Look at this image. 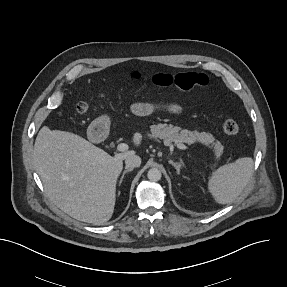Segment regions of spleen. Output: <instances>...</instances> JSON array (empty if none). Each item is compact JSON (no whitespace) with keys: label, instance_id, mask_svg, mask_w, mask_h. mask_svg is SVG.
Returning a JSON list of instances; mask_svg holds the SVG:
<instances>
[{"label":"spleen","instance_id":"1","mask_svg":"<svg viewBox=\"0 0 287 287\" xmlns=\"http://www.w3.org/2000/svg\"><path fill=\"white\" fill-rule=\"evenodd\" d=\"M253 171V159L243 157L215 170L209 178L208 188L215 201L228 204L234 201L248 184Z\"/></svg>","mask_w":287,"mask_h":287}]
</instances>
